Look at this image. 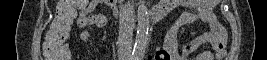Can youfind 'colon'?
<instances>
[{
    "label": "colon",
    "mask_w": 267,
    "mask_h": 60,
    "mask_svg": "<svg viewBox=\"0 0 267 60\" xmlns=\"http://www.w3.org/2000/svg\"><path fill=\"white\" fill-rule=\"evenodd\" d=\"M86 0H61L58 2L55 17L51 27L45 34L43 53L47 60H70L71 53L65 41L69 35L75 18L76 8L85 6ZM77 26L85 27L83 21L76 22Z\"/></svg>",
    "instance_id": "obj_1"
}]
</instances>
